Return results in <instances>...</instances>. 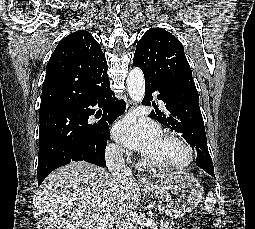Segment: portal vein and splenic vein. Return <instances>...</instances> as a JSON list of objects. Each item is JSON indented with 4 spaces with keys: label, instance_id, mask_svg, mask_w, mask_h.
<instances>
[{
    "label": "portal vein and splenic vein",
    "instance_id": "1",
    "mask_svg": "<svg viewBox=\"0 0 255 229\" xmlns=\"http://www.w3.org/2000/svg\"><path fill=\"white\" fill-rule=\"evenodd\" d=\"M159 224L162 225V224H163V221H161Z\"/></svg>",
    "mask_w": 255,
    "mask_h": 229
}]
</instances>
